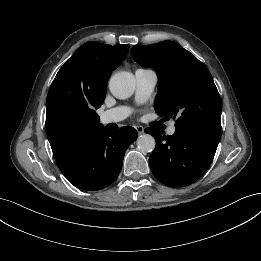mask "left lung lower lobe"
<instances>
[{
  "label": "left lung lower lobe",
  "mask_w": 261,
  "mask_h": 261,
  "mask_svg": "<svg viewBox=\"0 0 261 261\" xmlns=\"http://www.w3.org/2000/svg\"><path fill=\"white\" fill-rule=\"evenodd\" d=\"M145 132L156 140L149 158L152 173L170 187L187 186L199 179L209 168L221 137V133L178 129L168 136L154 128Z\"/></svg>",
  "instance_id": "1"
}]
</instances>
